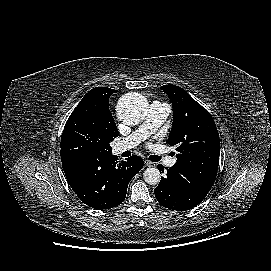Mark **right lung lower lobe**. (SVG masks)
Masks as SVG:
<instances>
[{"label": "right lung lower lobe", "instance_id": "obj_1", "mask_svg": "<svg viewBox=\"0 0 271 271\" xmlns=\"http://www.w3.org/2000/svg\"><path fill=\"white\" fill-rule=\"evenodd\" d=\"M66 179L86 205L102 210L121 204L131 179L143 167V160L131 156L118 163L110 154L82 153L73 150L61 152Z\"/></svg>", "mask_w": 271, "mask_h": 271}]
</instances>
